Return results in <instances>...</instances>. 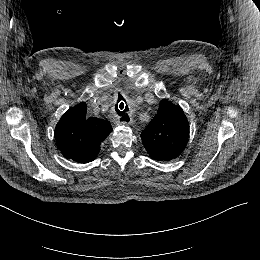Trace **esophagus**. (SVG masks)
I'll use <instances>...</instances> for the list:
<instances>
[{"mask_svg":"<svg viewBox=\"0 0 260 260\" xmlns=\"http://www.w3.org/2000/svg\"><path fill=\"white\" fill-rule=\"evenodd\" d=\"M129 118H130L129 121H122V123H123V124H126V125H132L133 122H134V120H133L132 117H129ZM118 122H120V121L118 120Z\"/></svg>","mask_w":260,"mask_h":260,"instance_id":"obj_1","label":"esophagus"}]
</instances>
